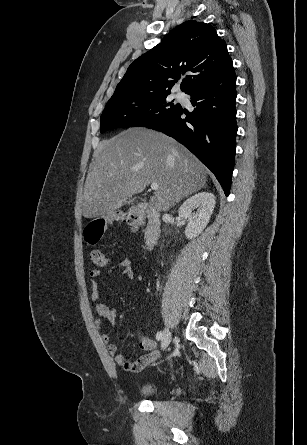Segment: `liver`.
Masks as SVG:
<instances>
[{
    "instance_id": "obj_1",
    "label": "liver",
    "mask_w": 307,
    "mask_h": 445,
    "mask_svg": "<svg viewBox=\"0 0 307 445\" xmlns=\"http://www.w3.org/2000/svg\"><path fill=\"white\" fill-rule=\"evenodd\" d=\"M83 192V216H104L129 204L150 182L159 188L150 208L169 210L206 184V166L183 144L156 130L127 128L100 140Z\"/></svg>"
}]
</instances>
